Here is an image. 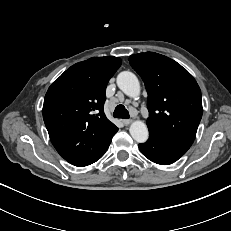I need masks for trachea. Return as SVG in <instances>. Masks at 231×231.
Segmentation results:
<instances>
[{
  "label": "trachea",
  "mask_w": 231,
  "mask_h": 231,
  "mask_svg": "<svg viewBox=\"0 0 231 231\" xmlns=\"http://www.w3.org/2000/svg\"><path fill=\"white\" fill-rule=\"evenodd\" d=\"M113 117L128 119L130 116L124 105H118L114 110Z\"/></svg>",
  "instance_id": "obj_1"
}]
</instances>
